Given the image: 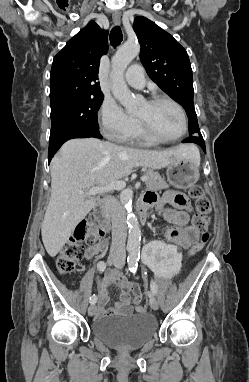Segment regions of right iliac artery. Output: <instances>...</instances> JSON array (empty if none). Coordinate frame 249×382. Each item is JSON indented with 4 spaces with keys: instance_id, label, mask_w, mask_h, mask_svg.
I'll list each match as a JSON object with an SVG mask.
<instances>
[{
    "instance_id": "82829eb1",
    "label": "right iliac artery",
    "mask_w": 249,
    "mask_h": 382,
    "mask_svg": "<svg viewBox=\"0 0 249 382\" xmlns=\"http://www.w3.org/2000/svg\"><path fill=\"white\" fill-rule=\"evenodd\" d=\"M97 268L100 272H103L106 268V264L103 261L98 262ZM97 302V296L94 294L90 297V303L95 304Z\"/></svg>"
}]
</instances>
